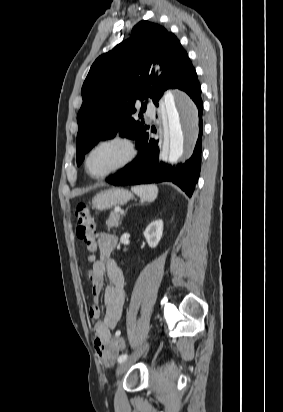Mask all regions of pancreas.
I'll list each match as a JSON object with an SVG mask.
<instances>
[{
    "label": "pancreas",
    "mask_w": 283,
    "mask_h": 412,
    "mask_svg": "<svg viewBox=\"0 0 283 412\" xmlns=\"http://www.w3.org/2000/svg\"><path fill=\"white\" fill-rule=\"evenodd\" d=\"M120 221V214L118 212L112 211L106 221L108 228H117Z\"/></svg>",
    "instance_id": "pancreas-1"
}]
</instances>
